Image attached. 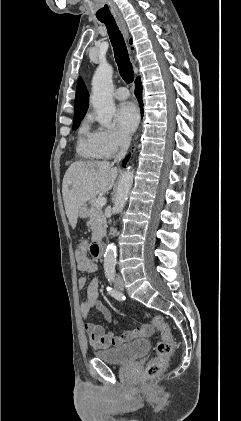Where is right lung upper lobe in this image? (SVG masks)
<instances>
[{
	"label": "right lung upper lobe",
	"mask_w": 241,
	"mask_h": 421,
	"mask_svg": "<svg viewBox=\"0 0 241 421\" xmlns=\"http://www.w3.org/2000/svg\"><path fill=\"white\" fill-rule=\"evenodd\" d=\"M132 43V40H130ZM89 105V98L86 86L83 80L79 78L76 89L74 118L84 117Z\"/></svg>",
	"instance_id": "cb5924a9"
}]
</instances>
